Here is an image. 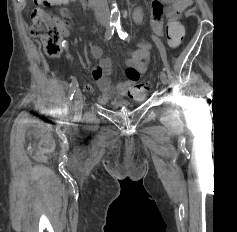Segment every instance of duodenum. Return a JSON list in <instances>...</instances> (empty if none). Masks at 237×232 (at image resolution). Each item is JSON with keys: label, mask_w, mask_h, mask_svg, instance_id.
Here are the masks:
<instances>
[{"label": "duodenum", "mask_w": 237, "mask_h": 232, "mask_svg": "<svg viewBox=\"0 0 237 232\" xmlns=\"http://www.w3.org/2000/svg\"><path fill=\"white\" fill-rule=\"evenodd\" d=\"M94 1L95 0H80L81 4L84 6V7H90L94 4Z\"/></svg>", "instance_id": "1"}]
</instances>
